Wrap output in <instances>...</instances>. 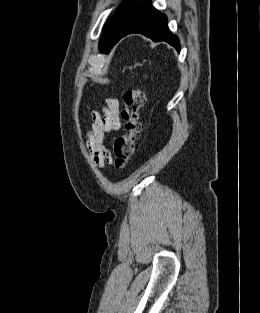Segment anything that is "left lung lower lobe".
Returning a JSON list of instances; mask_svg holds the SVG:
<instances>
[{
	"instance_id": "left-lung-lower-lobe-1",
	"label": "left lung lower lobe",
	"mask_w": 260,
	"mask_h": 313,
	"mask_svg": "<svg viewBox=\"0 0 260 313\" xmlns=\"http://www.w3.org/2000/svg\"><path fill=\"white\" fill-rule=\"evenodd\" d=\"M140 33L155 42L165 41L180 51V43L172 35L167 25V17L150 5L121 35L120 39L128 34ZM119 39V40H120Z\"/></svg>"
}]
</instances>
